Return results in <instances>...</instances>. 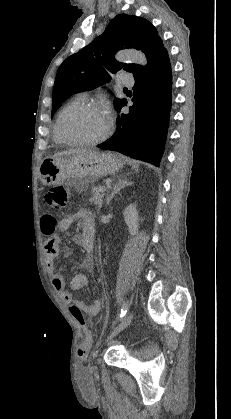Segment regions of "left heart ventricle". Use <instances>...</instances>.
Returning a JSON list of instances; mask_svg holds the SVG:
<instances>
[{"instance_id":"b2bd125f","label":"left heart ventricle","mask_w":231,"mask_h":419,"mask_svg":"<svg viewBox=\"0 0 231 419\" xmlns=\"http://www.w3.org/2000/svg\"><path fill=\"white\" fill-rule=\"evenodd\" d=\"M108 126L107 115L100 110H81L69 116L66 131L80 139H94L102 135Z\"/></svg>"}]
</instances>
